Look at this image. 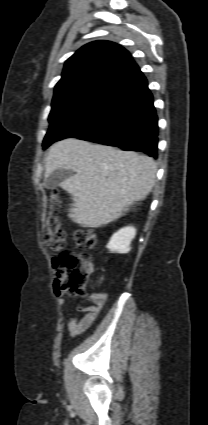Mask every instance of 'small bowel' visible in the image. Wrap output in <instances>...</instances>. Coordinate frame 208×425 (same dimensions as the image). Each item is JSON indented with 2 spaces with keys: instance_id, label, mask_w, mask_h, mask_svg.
Instances as JSON below:
<instances>
[{
  "instance_id": "1",
  "label": "small bowel",
  "mask_w": 208,
  "mask_h": 425,
  "mask_svg": "<svg viewBox=\"0 0 208 425\" xmlns=\"http://www.w3.org/2000/svg\"><path fill=\"white\" fill-rule=\"evenodd\" d=\"M55 290L57 294L58 304L63 306L65 304V298L58 290V284H55ZM88 299L93 302L92 306H88L84 309H80L84 312L83 316L71 317L68 320L67 327L71 336H77L85 332L96 320L99 312L101 311L106 299L107 294L102 292H91L88 295Z\"/></svg>"
}]
</instances>
